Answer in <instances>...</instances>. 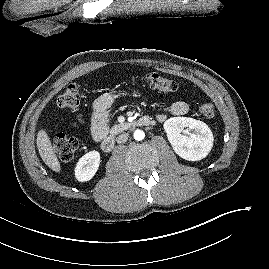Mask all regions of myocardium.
<instances>
[{
	"instance_id": "f54148a6",
	"label": "myocardium",
	"mask_w": 269,
	"mask_h": 269,
	"mask_svg": "<svg viewBox=\"0 0 269 269\" xmlns=\"http://www.w3.org/2000/svg\"><path fill=\"white\" fill-rule=\"evenodd\" d=\"M60 5H61L60 1H55L54 0L52 2H48V3L42 4L40 6V9H49V8H53V7H58Z\"/></svg>"
}]
</instances>
